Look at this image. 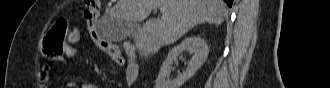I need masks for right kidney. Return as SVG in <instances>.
Wrapping results in <instances>:
<instances>
[{
	"instance_id": "right-kidney-1",
	"label": "right kidney",
	"mask_w": 330,
	"mask_h": 88,
	"mask_svg": "<svg viewBox=\"0 0 330 88\" xmlns=\"http://www.w3.org/2000/svg\"><path fill=\"white\" fill-rule=\"evenodd\" d=\"M184 51L193 53L187 68L182 73H179L175 79H166L171 73V65L173 62H178L179 54ZM208 51V46L204 39L201 37L193 36L184 39L179 45L175 46L169 51L166 60L160 68L158 77L156 79L155 88H180V86L184 84L185 81L190 79L203 65L208 56Z\"/></svg>"
}]
</instances>
